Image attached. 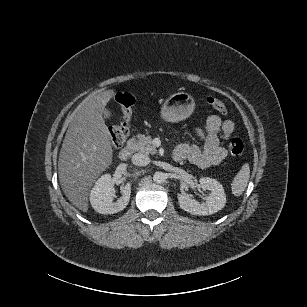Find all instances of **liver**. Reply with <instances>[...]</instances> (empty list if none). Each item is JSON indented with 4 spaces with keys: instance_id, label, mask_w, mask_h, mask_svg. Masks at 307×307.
Listing matches in <instances>:
<instances>
[{
    "instance_id": "6515ba94",
    "label": "liver",
    "mask_w": 307,
    "mask_h": 307,
    "mask_svg": "<svg viewBox=\"0 0 307 307\" xmlns=\"http://www.w3.org/2000/svg\"><path fill=\"white\" fill-rule=\"evenodd\" d=\"M111 92L84 99L67 118L68 130L59 154L58 173L68 199L81 211L88 209V193L96 177L111 162V145L102 117Z\"/></svg>"
}]
</instances>
